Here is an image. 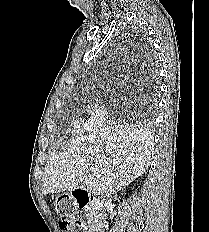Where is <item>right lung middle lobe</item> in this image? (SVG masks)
Wrapping results in <instances>:
<instances>
[{
  "instance_id": "dd1d6c3e",
  "label": "right lung middle lobe",
  "mask_w": 209,
  "mask_h": 232,
  "mask_svg": "<svg viewBox=\"0 0 209 232\" xmlns=\"http://www.w3.org/2000/svg\"><path fill=\"white\" fill-rule=\"evenodd\" d=\"M151 75H153V72H151ZM152 94L148 98V106H147V111H146V122L149 126L153 125V111H154V106H155V94H156V89L152 87L151 89Z\"/></svg>"
}]
</instances>
